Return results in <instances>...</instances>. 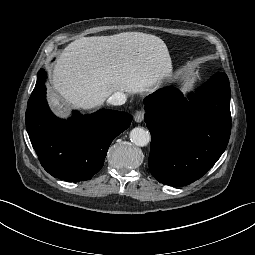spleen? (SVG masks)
Masks as SVG:
<instances>
[{"label": "spleen", "mask_w": 255, "mask_h": 255, "mask_svg": "<svg viewBox=\"0 0 255 255\" xmlns=\"http://www.w3.org/2000/svg\"><path fill=\"white\" fill-rule=\"evenodd\" d=\"M190 83H193V80ZM187 86H188V84L183 88V90H185Z\"/></svg>", "instance_id": "3e777b00"}]
</instances>
